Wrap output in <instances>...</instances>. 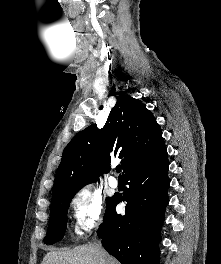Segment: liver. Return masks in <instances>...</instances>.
I'll use <instances>...</instances> for the list:
<instances>
[{
	"instance_id": "6515ba94",
	"label": "liver",
	"mask_w": 221,
	"mask_h": 264,
	"mask_svg": "<svg viewBox=\"0 0 221 264\" xmlns=\"http://www.w3.org/2000/svg\"><path fill=\"white\" fill-rule=\"evenodd\" d=\"M41 264H119L115 258L104 251L100 255L99 249L94 244L77 246L68 251L48 252Z\"/></svg>"
}]
</instances>
